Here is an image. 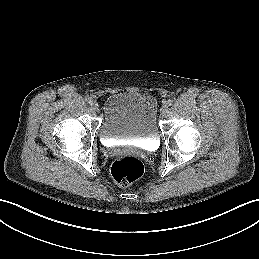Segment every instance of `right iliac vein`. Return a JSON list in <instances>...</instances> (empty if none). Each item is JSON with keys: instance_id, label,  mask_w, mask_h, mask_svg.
Listing matches in <instances>:
<instances>
[{"instance_id": "right-iliac-vein-1", "label": "right iliac vein", "mask_w": 259, "mask_h": 259, "mask_svg": "<svg viewBox=\"0 0 259 259\" xmlns=\"http://www.w3.org/2000/svg\"><path fill=\"white\" fill-rule=\"evenodd\" d=\"M91 107L93 110H97L99 105H98V102L97 101H92L91 102Z\"/></svg>"}]
</instances>
